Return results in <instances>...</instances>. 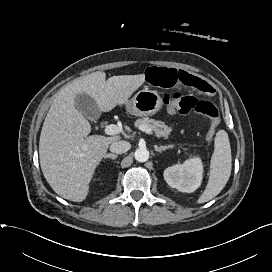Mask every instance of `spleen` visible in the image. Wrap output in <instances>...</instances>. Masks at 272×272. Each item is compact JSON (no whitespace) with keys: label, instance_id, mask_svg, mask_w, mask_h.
I'll list each match as a JSON object with an SVG mask.
<instances>
[{"label":"spleen","instance_id":"spleen-1","mask_svg":"<svg viewBox=\"0 0 272 272\" xmlns=\"http://www.w3.org/2000/svg\"><path fill=\"white\" fill-rule=\"evenodd\" d=\"M214 147L210 161L208 184L197 201L199 204L208 202L217 196L225 187L231 175V147L225 130H219L216 133Z\"/></svg>","mask_w":272,"mask_h":272}]
</instances>
